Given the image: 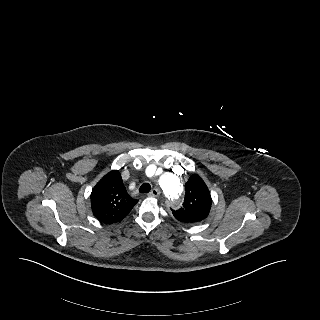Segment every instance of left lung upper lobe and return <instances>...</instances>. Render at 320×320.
Segmentation results:
<instances>
[{
  "label": "left lung upper lobe",
  "mask_w": 320,
  "mask_h": 320,
  "mask_svg": "<svg viewBox=\"0 0 320 320\" xmlns=\"http://www.w3.org/2000/svg\"><path fill=\"white\" fill-rule=\"evenodd\" d=\"M209 190L200 178L192 175L185 184V198L178 210H172L174 217L182 223H197L205 219L211 208Z\"/></svg>",
  "instance_id": "5c2ea615"
}]
</instances>
